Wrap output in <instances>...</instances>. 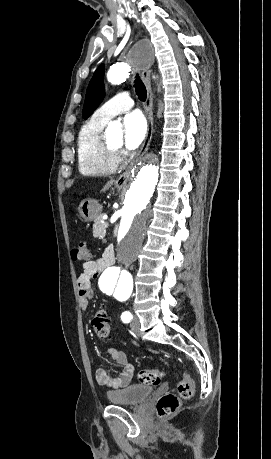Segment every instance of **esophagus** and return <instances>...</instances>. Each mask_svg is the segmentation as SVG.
Masks as SVG:
<instances>
[{"instance_id":"esophagus-1","label":"esophagus","mask_w":271,"mask_h":459,"mask_svg":"<svg viewBox=\"0 0 271 459\" xmlns=\"http://www.w3.org/2000/svg\"><path fill=\"white\" fill-rule=\"evenodd\" d=\"M153 60H154V56L151 61L150 60H139L137 65L136 64L133 65V70L135 71L142 69V79L147 89V98L144 104V115L147 120V132H146L144 141L142 143V146L139 152L134 157V159L132 160L130 165L127 167L125 172H123V174H121L120 177L116 179L115 185H126L133 167L146 154L149 148V145L151 143V140H152V136L154 133V121H153V114H152L153 93H152V87H151L150 68L153 63Z\"/></svg>"}]
</instances>
